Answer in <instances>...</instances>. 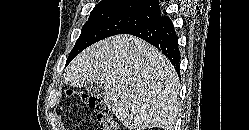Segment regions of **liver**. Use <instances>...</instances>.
Instances as JSON below:
<instances>
[{
    "mask_svg": "<svg viewBox=\"0 0 249 130\" xmlns=\"http://www.w3.org/2000/svg\"><path fill=\"white\" fill-rule=\"evenodd\" d=\"M71 87L99 82L108 109L129 130H174L179 78L166 56L131 35L104 39L81 52L66 69Z\"/></svg>",
    "mask_w": 249,
    "mask_h": 130,
    "instance_id": "1",
    "label": "liver"
}]
</instances>
